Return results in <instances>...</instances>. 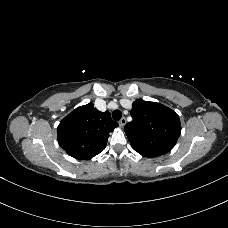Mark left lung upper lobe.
<instances>
[{"label":"left lung upper lobe","instance_id":"1","mask_svg":"<svg viewBox=\"0 0 228 228\" xmlns=\"http://www.w3.org/2000/svg\"><path fill=\"white\" fill-rule=\"evenodd\" d=\"M132 122L124 131L132 148L143 156L168 153L181 133L180 119L170 108L156 102L136 100L132 104Z\"/></svg>","mask_w":228,"mask_h":228}]
</instances>
